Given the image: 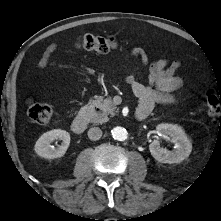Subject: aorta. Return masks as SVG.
<instances>
[{
	"mask_svg": "<svg viewBox=\"0 0 221 221\" xmlns=\"http://www.w3.org/2000/svg\"><path fill=\"white\" fill-rule=\"evenodd\" d=\"M111 133H112L113 138L118 141H124L127 139V136H128L126 129L122 127L113 128Z\"/></svg>",
	"mask_w": 221,
	"mask_h": 221,
	"instance_id": "1",
	"label": "aorta"
}]
</instances>
